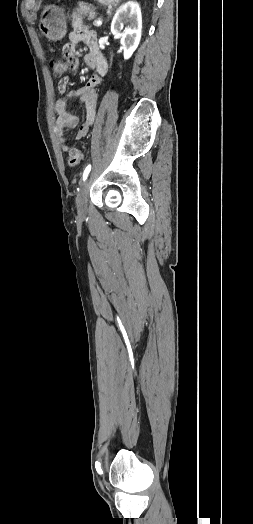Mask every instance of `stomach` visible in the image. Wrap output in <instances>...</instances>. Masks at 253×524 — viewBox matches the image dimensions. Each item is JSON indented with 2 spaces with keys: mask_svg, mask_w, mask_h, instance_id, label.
<instances>
[{
  "mask_svg": "<svg viewBox=\"0 0 253 524\" xmlns=\"http://www.w3.org/2000/svg\"><path fill=\"white\" fill-rule=\"evenodd\" d=\"M121 0H97L98 3L109 6L117 5ZM66 16L64 10L55 5L46 6L42 12L39 29L49 40H61L66 34Z\"/></svg>",
  "mask_w": 253,
  "mask_h": 524,
  "instance_id": "0dacf381",
  "label": "stomach"
}]
</instances>
